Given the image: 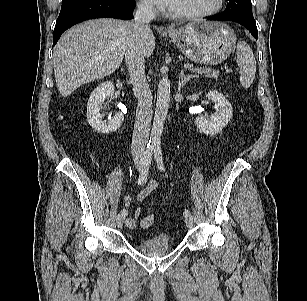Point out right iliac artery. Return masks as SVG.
Here are the masks:
<instances>
[{
	"mask_svg": "<svg viewBox=\"0 0 307 301\" xmlns=\"http://www.w3.org/2000/svg\"><path fill=\"white\" fill-rule=\"evenodd\" d=\"M154 147L147 146L144 157H143V168L139 174L138 177V184L143 185L147 182L148 178V172L152 161V155H153ZM128 214V211L126 209L121 210V215L126 217Z\"/></svg>",
	"mask_w": 307,
	"mask_h": 301,
	"instance_id": "obj_1",
	"label": "right iliac artery"
}]
</instances>
